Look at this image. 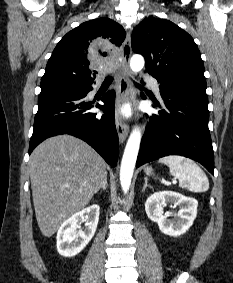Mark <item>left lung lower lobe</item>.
<instances>
[{
  "instance_id": "obj_1",
  "label": "left lung lower lobe",
  "mask_w": 233,
  "mask_h": 283,
  "mask_svg": "<svg viewBox=\"0 0 233 283\" xmlns=\"http://www.w3.org/2000/svg\"><path fill=\"white\" fill-rule=\"evenodd\" d=\"M162 108L150 117L142 137L136 167L167 155H182L201 163L214 174V155L208 129L206 88L160 85ZM145 98L144 94H141Z\"/></svg>"
}]
</instances>
